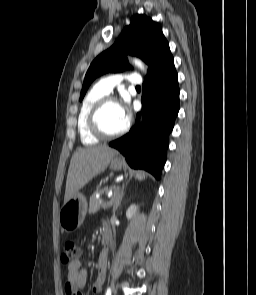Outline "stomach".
I'll list each match as a JSON object with an SVG mask.
<instances>
[{
	"mask_svg": "<svg viewBox=\"0 0 256 295\" xmlns=\"http://www.w3.org/2000/svg\"><path fill=\"white\" fill-rule=\"evenodd\" d=\"M110 168L112 170H121L124 165L123 160L115 155L110 161ZM87 200L85 196L77 192L66 203L63 204L59 213V222L65 231H74L78 229L87 213Z\"/></svg>",
	"mask_w": 256,
	"mask_h": 295,
	"instance_id": "0dacf381",
	"label": "stomach"
}]
</instances>
